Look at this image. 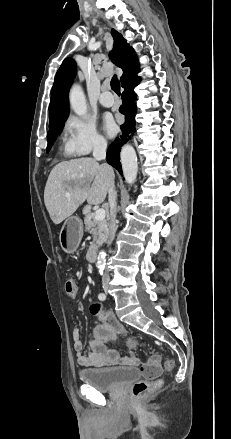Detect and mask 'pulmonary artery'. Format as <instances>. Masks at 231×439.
Instances as JSON below:
<instances>
[{
  "label": "pulmonary artery",
  "instance_id": "pulmonary-artery-1",
  "mask_svg": "<svg viewBox=\"0 0 231 439\" xmlns=\"http://www.w3.org/2000/svg\"><path fill=\"white\" fill-rule=\"evenodd\" d=\"M99 102L104 107H111L114 104V98L109 91H107V87L104 88V91L101 93L99 97Z\"/></svg>",
  "mask_w": 231,
  "mask_h": 439
}]
</instances>
